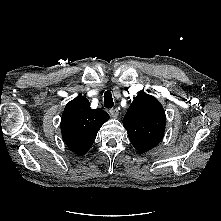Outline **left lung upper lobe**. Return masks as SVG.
<instances>
[{
    "label": "left lung upper lobe",
    "mask_w": 221,
    "mask_h": 221,
    "mask_svg": "<svg viewBox=\"0 0 221 221\" xmlns=\"http://www.w3.org/2000/svg\"><path fill=\"white\" fill-rule=\"evenodd\" d=\"M166 124L162 105L151 95L141 93L135 97L124 119L132 145L140 153H145L161 141Z\"/></svg>",
    "instance_id": "left-lung-upper-lobe-1"
}]
</instances>
